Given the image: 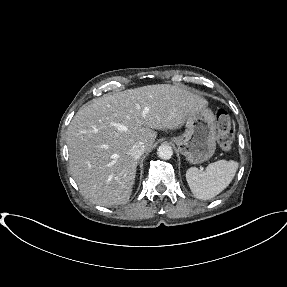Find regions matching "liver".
Returning <instances> with one entry per match:
<instances>
[{"label":"liver","mask_w":287,"mask_h":287,"mask_svg":"<svg viewBox=\"0 0 287 287\" xmlns=\"http://www.w3.org/2000/svg\"><path fill=\"white\" fill-rule=\"evenodd\" d=\"M207 102L183 85L155 84L106 94L82 106L67 129L70 172L94 204H125L135 182L132 146L150 151L159 129H178Z\"/></svg>","instance_id":"obj_1"}]
</instances>
